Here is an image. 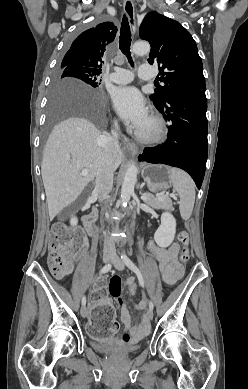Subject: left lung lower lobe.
Instances as JSON below:
<instances>
[{
  "instance_id": "left-lung-lower-lobe-1",
  "label": "left lung lower lobe",
  "mask_w": 248,
  "mask_h": 389,
  "mask_svg": "<svg viewBox=\"0 0 248 389\" xmlns=\"http://www.w3.org/2000/svg\"><path fill=\"white\" fill-rule=\"evenodd\" d=\"M156 108L171 124L168 137L162 145L145 148L139 160L181 168L200 189L208 153L205 83L179 88Z\"/></svg>"
}]
</instances>
